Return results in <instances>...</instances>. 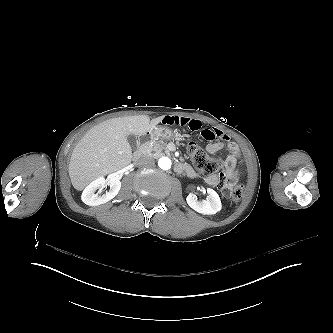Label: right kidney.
I'll list each match as a JSON object with an SVG mask.
<instances>
[{"label": "right kidney", "mask_w": 333, "mask_h": 333, "mask_svg": "<svg viewBox=\"0 0 333 333\" xmlns=\"http://www.w3.org/2000/svg\"><path fill=\"white\" fill-rule=\"evenodd\" d=\"M106 184H108L110 190L109 192L100 196L97 191L104 188ZM120 188H121V181L115 177L109 178L108 180L99 178L94 182H92L84 190L82 194V201L89 206H98L105 204L117 196V194L120 191Z\"/></svg>", "instance_id": "ca27d5eb"}]
</instances>
